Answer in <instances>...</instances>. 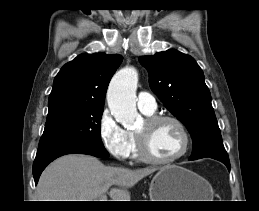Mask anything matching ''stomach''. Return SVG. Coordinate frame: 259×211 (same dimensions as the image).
Instances as JSON below:
<instances>
[{"label":"stomach","instance_id":"obj_1","mask_svg":"<svg viewBox=\"0 0 259 211\" xmlns=\"http://www.w3.org/2000/svg\"><path fill=\"white\" fill-rule=\"evenodd\" d=\"M151 201H209L211 186L196 173L176 165L161 168L152 178Z\"/></svg>","mask_w":259,"mask_h":211}]
</instances>
